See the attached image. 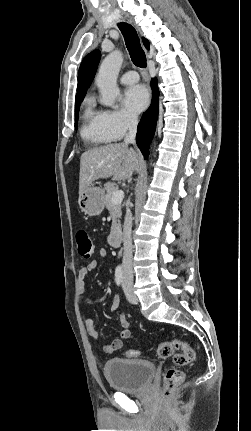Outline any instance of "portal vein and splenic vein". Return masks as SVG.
I'll list each match as a JSON object with an SVG mask.
<instances>
[{
  "instance_id": "1",
  "label": "portal vein and splenic vein",
  "mask_w": 251,
  "mask_h": 431,
  "mask_svg": "<svg viewBox=\"0 0 251 431\" xmlns=\"http://www.w3.org/2000/svg\"><path fill=\"white\" fill-rule=\"evenodd\" d=\"M123 198H124V192L122 190H117L112 195V203L119 204L123 201Z\"/></svg>"
}]
</instances>
